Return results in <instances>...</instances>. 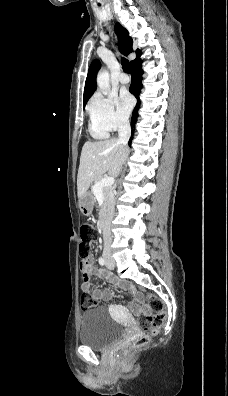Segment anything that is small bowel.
I'll list each match as a JSON object with an SVG mask.
<instances>
[{
  "mask_svg": "<svg viewBox=\"0 0 228 396\" xmlns=\"http://www.w3.org/2000/svg\"><path fill=\"white\" fill-rule=\"evenodd\" d=\"M80 270L82 272V276L84 280L81 285V290L83 293H89L97 300L110 301L112 299V294L110 291L101 290V289H92V283L90 281V278L92 275H98L99 277L109 281L110 283L121 285L122 287L128 289L131 292L135 302L129 303L128 308L132 313L136 315H140V314H145L149 311L148 306L141 303L142 296L140 295V293H138L135 290L132 284L121 283L114 276L96 267L94 265V261L92 257L88 258L86 261L81 262Z\"/></svg>",
  "mask_w": 228,
  "mask_h": 396,
  "instance_id": "small-bowel-1",
  "label": "small bowel"
}]
</instances>
